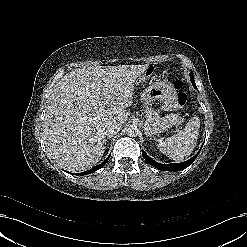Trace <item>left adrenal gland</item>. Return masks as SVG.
<instances>
[{
  "label": "left adrenal gland",
  "mask_w": 247,
  "mask_h": 247,
  "mask_svg": "<svg viewBox=\"0 0 247 247\" xmlns=\"http://www.w3.org/2000/svg\"><path fill=\"white\" fill-rule=\"evenodd\" d=\"M145 134H146V137H147V139H148V135H149V134H148V132H147V131H145Z\"/></svg>",
  "instance_id": "1"
}]
</instances>
